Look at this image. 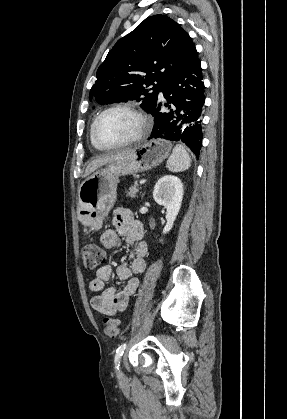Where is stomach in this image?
<instances>
[{
    "label": "stomach",
    "instance_id": "0dacf381",
    "mask_svg": "<svg viewBox=\"0 0 287 419\" xmlns=\"http://www.w3.org/2000/svg\"><path fill=\"white\" fill-rule=\"evenodd\" d=\"M170 152L169 141L153 139L88 176L78 189L80 219L93 227L101 224L114 206L119 177L150 170L165 160Z\"/></svg>",
    "mask_w": 287,
    "mask_h": 419
}]
</instances>
